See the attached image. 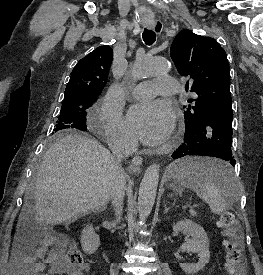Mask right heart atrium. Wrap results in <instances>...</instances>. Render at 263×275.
<instances>
[{"mask_svg": "<svg viewBox=\"0 0 263 275\" xmlns=\"http://www.w3.org/2000/svg\"><path fill=\"white\" fill-rule=\"evenodd\" d=\"M97 124L111 142L124 146L134 143L131 133L120 118L117 108L111 104L109 97H105L100 105Z\"/></svg>", "mask_w": 263, "mask_h": 275, "instance_id": "1", "label": "right heart atrium"}]
</instances>
